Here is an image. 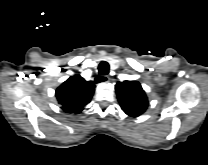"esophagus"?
<instances>
[{"label": "esophagus", "instance_id": "obj_1", "mask_svg": "<svg viewBox=\"0 0 208 165\" xmlns=\"http://www.w3.org/2000/svg\"><path fill=\"white\" fill-rule=\"evenodd\" d=\"M98 80L101 81L102 79L99 78ZM104 80H105V82H109L110 81V77L109 76H105Z\"/></svg>", "mask_w": 208, "mask_h": 165}]
</instances>
